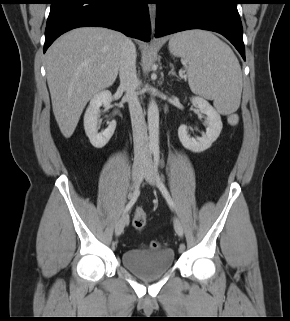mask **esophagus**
<instances>
[{"instance_id": "34e87169", "label": "esophagus", "mask_w": 290, "mask_h": 321, "mask_svg": "<svg viewBox=\"0 0 290 321\" xmlns=\"http://www.w3.org/2000/svg\"><path fill=\"white\" fill-rule=\"evenodd\" d=\"M148 8H149V15H150L152 33H154V31H155V20H156V5L155 4H149Z\"/></svg>"}]
</instances>
